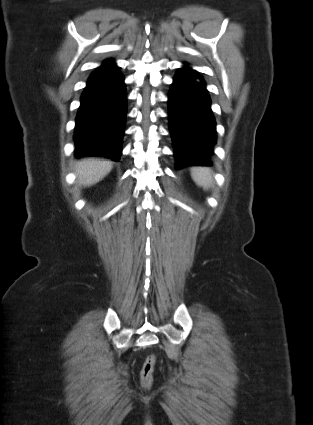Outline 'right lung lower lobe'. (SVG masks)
<instances>
[{
  "instance_id": "right-lung-lower-lobe-1",
  "label": "right lung lower lobe",
  "mask_w": 313,
  "mask_h": 425,
  "mask_svg": "<svg viewBox=\"0 0 313 425\" xmlns=\"http://www.w3.org/2000/svg\"><path fill=\"white\" fill-rule=\"evenodd\" d=\"M126 109L124 78L115 63L106 60L89 77L81 96L75 126V156L119 161Z\"/></svg>"
}]
</instances>
